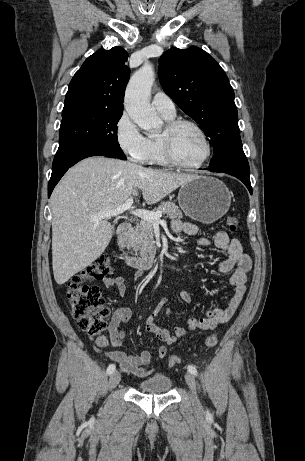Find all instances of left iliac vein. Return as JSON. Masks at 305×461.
Listing matches in <instances>:
<instances>
[{"label": "left iliac vein", "instance_id": "left-iliac-vein-1", "mask_svg": "<svg viewBox=\"0 0 305 461\" xmlns=\"http://www.w3.org/2000/svg\"><path fill=\"white\" fill-rule=\"evenodd\" d=\"M185 380L187 385L189 386L192 394H193V402L196 407L200 408V401L198 399L197 393H196V381L192 373L187 372L185 374Z\"/></svg>", "mask_w": 305, "mask_h": 461}]
</instances>
